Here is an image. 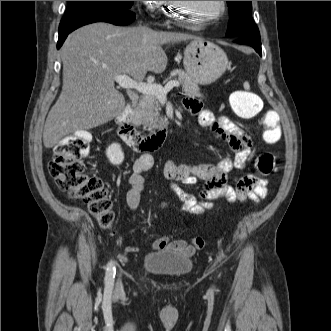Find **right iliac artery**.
<instances>
[{
  "label": "right iliac artery",
  "instance_id": "right-iliac-artery-1",
  "mask_svg": "<svg viewBox=\"0 0 331 331\" xmlns=\"http://www.w3.org/2000/svg\"><path fill=\"white\" fill-rule=\"evenodd\" d=\"M115 266L113 261H110L107 264V269H106V276H105V283H106V288L112 289L113 283H114V278H115Z\"/></svg>",
  "mask_w": 331,
  "mask_h": 331
}]
</instances>
